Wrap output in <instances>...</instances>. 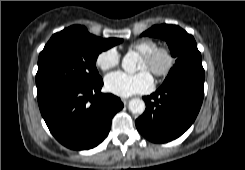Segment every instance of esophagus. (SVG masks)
<instances>
[{"label":"esophagus","instance_id":"obj_1","mask_svg":"<svg viewBox=\"0 0 245 170\" xmlns=\"http://www.w3.org/2000/svg\"><path fill=\"white\" fill-rule=\"evenodd\" d=\"M122 102L124 103V105H127L129 102V99H122Z\"/></svg>","mask_w":245,"mask_h":170}]
</instances>
